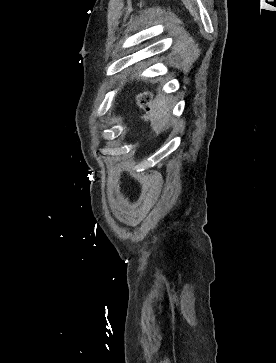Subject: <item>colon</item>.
Here are the masks:
<instances>
[{"instance_id": "1", "label": "colon", "mask_w": 276, "mask_h": 363, "mask_svg": "<svg viewBox=\"0 0 276 363\" xmlns=\"http://www.w3.org/2000/svg\"><path fill=\"white\" fill-rule=\"evenodd\" d=\"M137 101H138V105L143 108L146 109L148 106V103L150 101V95L148 92L144 91L142 93H140L137 97ZM145 118V116L143 117Z\"/></svg>"}]
</instances>
